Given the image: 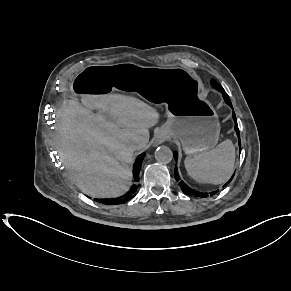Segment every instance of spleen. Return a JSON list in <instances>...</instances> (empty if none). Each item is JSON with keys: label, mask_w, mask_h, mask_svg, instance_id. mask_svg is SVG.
<instances>
[{"label": "spleen", "mask_w": 291, "mask_h": 291, "mask_svg": "<svg viewBox=\"0 0 291 291\" xmlns=\"http://www.w3.org/2000/svg\"><path fill=\"white\" fill-rule=\"evenodd\" d=\"M235 163V147L227 139L214 149L187 156L184 164L191 178L200 183L221 184L226 182L233 173Z\"/></svg>", "instance_id": "spleen-1"}]
</instances>
